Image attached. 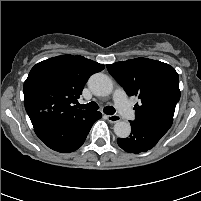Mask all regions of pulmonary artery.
I'll return each mask as SVG.
<instances>
[{"label": "pulmonary artery", "instance_id": "pulmonary-artery-1", "mask_svg": "<svg viewBox=\"0 0 201 201\" xmlns=\"http://www.w3.org/2000/svg\"><path fill=\"white\" fill-rule=\"evenodd\" d=\"M114 101L119 113L123 118L126 120H134L135 112L128 101L125 91L122 88H117L115 90Z\"/></svg>", "mask_w": 201, "mask_h": 201}]
</instances>
